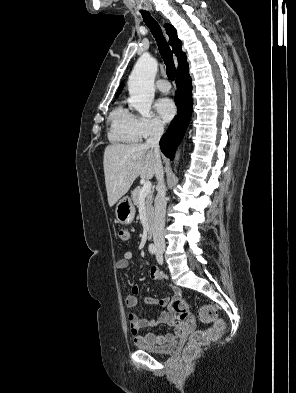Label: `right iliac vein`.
Returning a JSON list of instances; mask_svg holds the SVG:
<instances>
[{"label":"right iliac vein","instance_id":"right-iliac-vein-1","mask_svg":"<svg viewBox=\"0 0 296 393\" xmlns=\"http://www.w3.org/2000/svg\"><path fill=\"white\" fill-rule=\"evenodd\" d=\"M164 248H162V247H160V248H158V251L160 252V253H163L164 252Z\"/></svg>","mask_w":296,"mask_h":393}]
</instances>
